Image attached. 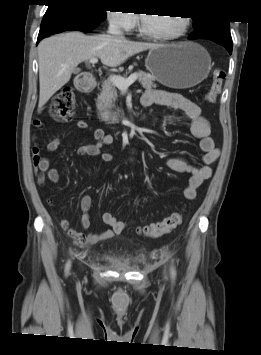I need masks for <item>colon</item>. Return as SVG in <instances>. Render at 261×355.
Wrapping results in <instances>:
<instances>
[{"label": "colon", "instance_id": "colon-1", "mask_svg": "<svg viewBox=\"0 0 261 355\" xmlns=\"http://www.w3.org/2000/svg\"><path fill=\"white\" fill-rule=\"evenodd\" d=\"M226 73L223 69H216L213 73L211 85L205 95L207 103H214L221 92ZM75 95L70 87L59 90L51 99L50 110L53 118L58 122H70L75 115ZM183 214L173 212L163 220L140 226L138 232L147 237H159L173 231L181 224Z\"/></svg>", "mask_w": 261, "mask_h": 355}]
</instances>
